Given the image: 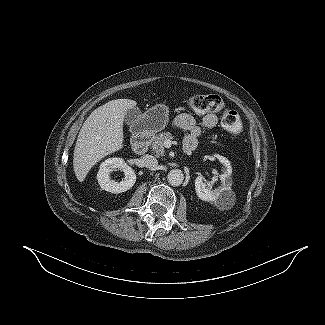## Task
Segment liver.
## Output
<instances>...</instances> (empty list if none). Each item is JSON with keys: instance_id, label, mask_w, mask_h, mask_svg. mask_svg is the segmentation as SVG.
I'll return each mask as SVG.
<instances>
[{"instance_id": "liver-1", "label": "liver", "mask_w": 325, "mask_h": 325, "mask_svg": "<svg viewBox=\"0 0 325 325\" xmlns=\"http://www.w3.org/2000/svg\"><path fill=\"white\" fill-rule=\"evenodd\" d=\"M130 99L111 100L95 109L84 122L76 141L73 168L82 182L102 158L123 148V122L128 109L136 106Z\"/></svg>"}]
</instances>
